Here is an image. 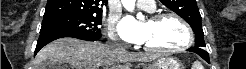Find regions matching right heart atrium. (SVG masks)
<instances>
[{
  "instance_id": "1",
  "label": "right heart atrium",
  "mask_w": 246,
  "mask_h": 69,
  "mask_svg": "<svg viewBox=\"0 0 246 69\" xmlns=\"http://www.w3.org/2000/svg\"><path fill=\"white\" fill-rule=\"evenodd\" d=\"M116 17H112L109 27H108V35L112 40L118 39V35L115 29Z\"/></svg>"
}]
</instances>
